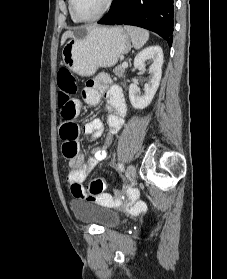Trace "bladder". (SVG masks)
<instances>
[{
	"mask_svg": "<svg viewBox=\"0 0 227 279\" xmlns=\"http://www.w3.org/2000/svg\"><path fill=\"white\" fill-rule=\"evenodd\" d=\"M71 208L76 218L85 224H96L105 228H115L120 224V217L115 210L93 202L74 200Z\"/></svg>",
	"mask_w": 227,
	"mask_h": 279,
	"instance_id": "bladder-1",
	"label": "bladder"
}]
</instances>
